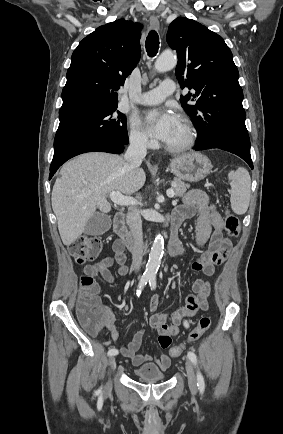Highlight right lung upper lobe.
Returning <instances> with one entry per match:
<instances>
[{"label": "right lung upper lobe", "mask_w": 283, "mask_h": 434, "mask_svg": "<svg viewBox=\"0 0 283 434\" xmlns=\"http://www.w3.org/2000/svg\"><path fill=\"white\" fill-rule=\"evenodd\" d=\"M140 24L124 19L98 27L74 50L59 116L117 107V90L136 67Z\"/></svg>", "instance_id": "cb5924a9"}]
</instances>
